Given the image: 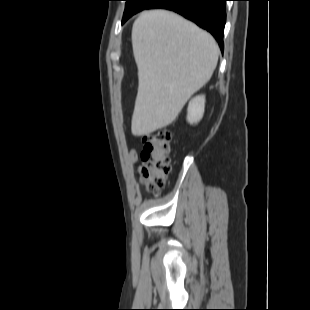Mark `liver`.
Returning a JSON list of instances; mask_svg holds the SVG:
<instances>
[{
	"label": "liver",
	"instance_id": "1",
	"mask_svg": "<svg viewBox=\"0 0 310 310\" xmlns=\"http://www.w3.org/2000/svg\"><path fill=\"white\" fill-rule=\"evenodd\" d=\"M132 46L139 84L131 131L144 136L175 121L188 99L210 80L219 48L209 33L166 10L140 14Z\"/></svg>",
	"mask_w": 310,
	"mask_h": 310
}]
</instances>
